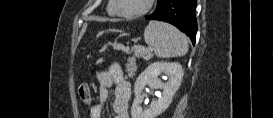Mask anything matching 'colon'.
I'll list each match as a JSON object with an SVG mask.
<instances>
[{"label":"colon","instance_id":"5ec220e1","mask_svg":"<svg viewBox=\"0 0 273 118\" xmlns=\"http://www.w3.org/2000/svg\"><path fill=\"white\" fill-rule=\"evenodd\" d=\"M78 93H79V96L82 100L89 99V89L86 85H84V84L80 85Z\"/></svg>","mask_w":273,"mask_h":118}]
</instances>
